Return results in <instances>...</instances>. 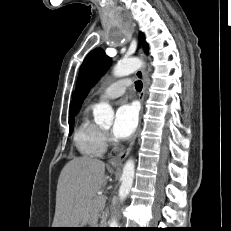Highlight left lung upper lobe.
Masks as SVG:
<instances>
[{"instance_id": "1", "label": "left lung upper lobe", "mask_w": 231, "mask_h": 231, "mask_svg": "<svg viewBox=\"0 0 231 231\" xmlns=\"http://www.w3.org/2000/svg\"><path fill=\"white\" fill-rule=\"evenodd\" d=\"M145 52L148 53V44L145 42V36L140 33ZM110 64V58L105 54L102 48L92 50L85 58L80 68L79 78L77 82L76 94L74 98L75 113L81 108L82 102L89 93L91 87L106 72Z\"/></svg>"}]
</instances>
